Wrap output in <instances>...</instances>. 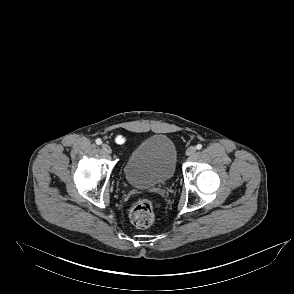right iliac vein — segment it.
<instances>
[{
  "instance_id": "63e3f726",
  "label": "right iliac vein",
  "mask_w": 294,
  "mask_h": 294,
  "mask_svg": "<svg viewBox=\"0 0 294 294\" xmlns=\"http://www.w3.org/2000/svg\"><path fill=\"white\" fill-rule=\"evenodd\" d=\"M102 149H103L105 152H107L108 154H111V153H112V150H111L110 146H109L108 144H106V143H103V144H102Z\"/></svg>"
}]
</instances>
